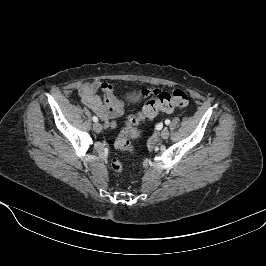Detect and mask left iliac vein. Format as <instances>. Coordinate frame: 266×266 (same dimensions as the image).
<instances>
[{
    "label": "left iliac vein",
    "mask_w": 266,
    "mask_h": 266,
    "mask_svg": "<svg viewBox=\"0 0 266 266\" xmlns=\"http://www.w3.org/2000/svg\"><path fill=\"white\" fill-rule=\"evenodd\" d=\"M161 137H162V139H167L169 137V130L167 128H164L161 131Z\"/></svg>",
    "instance_id": "left-iliac-vein-1"
}]
</instances>
